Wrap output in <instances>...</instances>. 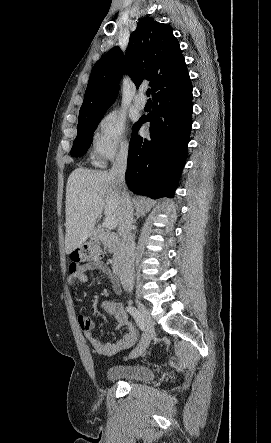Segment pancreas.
I'll return each instance as SVG.
<instances>
[{
  "label": "pancreas",
  "instance_id": "obj_1",
  "mask_svg": "<svg viewBox=\"0 0 271 443\" xmlns=\"http://www.w3.org/2000/svg\"><path fill=\"white\" fill-rule=\"evenodd\" d=\"M100 241H102L104 247H107L110 253H115L116 251V243L113 239H110L109 235H99Z\"/></svg>",
  "mask_w": 271,
  "mask_h": 443
}]
</instances>
